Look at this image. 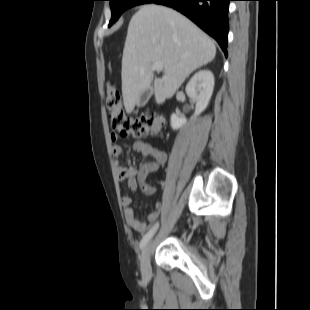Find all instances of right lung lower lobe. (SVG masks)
Instances as JSON below:
<instances>
[{
	"label": "right lung lower lobe",
	"mask_w": 310,
	"mask_h": 310,
	"mask_svg": "<svg viewBox=\"0 0 310 310\" xmlns=\"http://www.w3.org/2000/svg\"><path fill=\"white\" fill-rule=\"evenodd\" d=\"M232 0H152L176 9L212 36L227 56L228 10Z\"/></svg>",
	"instance_id": "obj_1"
}]
</instances>
